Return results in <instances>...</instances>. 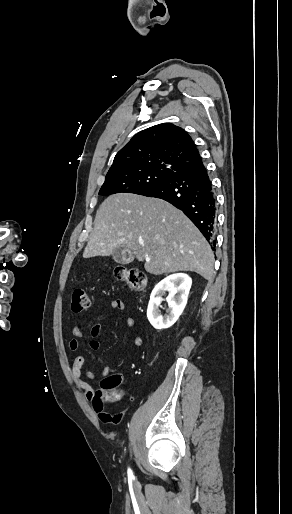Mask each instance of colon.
I'll use <instances>...</instances> for the list:
<instances>
[{
	"mask_svg": "<svg viewBox=\"0 0 292 514\" xmlns=\"http://www.w3.org/2000/svg\"><path fill=\"white\" fill-rule=\"evenodd\" d=\"M115 277L123 284H127L134 293L143 294L147 288V276L140 271L138 265L131 268L125 266H117L114 270ZM89 308V299L84 289L77 288L74 291L72 299V311L74 313L86 312ZM119 377L117 375H109L101 379L99 386L94 394V400L98 403L97 411L101 413L102 420L111 419L118 423L122 420L125 412H119L114 416L109 411H103L107 404L115 403L123 397V391L118 388ZM111 416V417H110Z\"/></svg>",
	"mask_w": 292,
	"mask_h": 514,
	"instance_id": "obj_1",
	"label": "colon"
}]
</instances>
